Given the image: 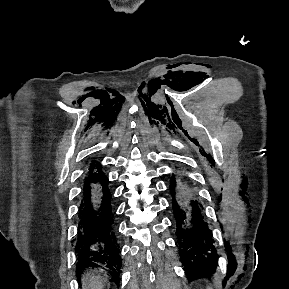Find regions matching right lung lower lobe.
Returning <instances> with one entry per match:
<instances>
[{"label":"right lung lower lobe","instance_id":"obj_1","mask_svg":"<svg viewBox=\"0 0 289 289\" xmlns=\"http://www.w3.org/2000/svg\"><path fill=\"white\" fill-rule=\"evenodd\" d=\"M78 237L75 250L79 254L77 273L87 266L106 267L118 284L121 273L119 245L111 203L108 179L98 171L85 179L79 206Z\"/></svg>","mask_w":289,"mask_h":289}]
</instances>
